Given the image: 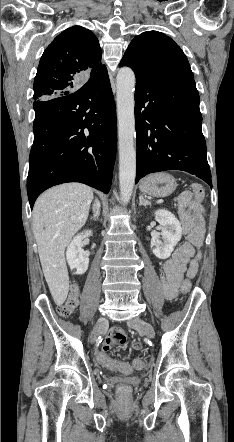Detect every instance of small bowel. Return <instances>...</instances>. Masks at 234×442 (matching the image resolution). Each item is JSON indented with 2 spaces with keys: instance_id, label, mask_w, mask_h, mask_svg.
I'll list each match as a JSON object with an SVG mask.
<instances>
[{
  "instance_id": "obj_1",
  "label": "small bowel",
  "mask_w": 234,
  "mask_h": 442,
  "mask_svg": "<svg viewBox=\"0 0 234 442\" xmlns=\"http://www.w3.org/2000/svg\"><path fill=\"white\" fill-rule=\"evenodd\" d=\"M177 213L189 242L177 248L173 255L163 263L162 285L167 300L175 298L184 276L193 278L196 275L198 259L195 255V248L201 245L205 224V210L201 204L192 199L189 192H185L179 197ZM125 340V334L113 329L106 336L101 349L110 351L113 345L123 343ZM134 348L140 349L141 343L135 342Z\"/></svg>"
}]
</instances>
